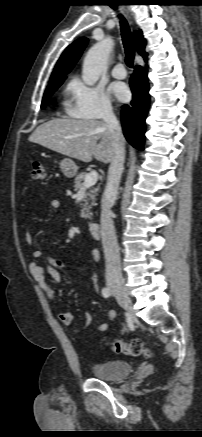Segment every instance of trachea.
<instances>
[{
	"instance_id": "obj_1",
	"label": "trachea",
	"mask_w": 202,
	"mask_h": 437,
	"mask_svg": "<svg viewBox=\"0 0 202 437\" xmlns=\"http://www.w3.org/2000/svg\"><path fill=\"white\" fill-rule=\"evenodd\" d=\"M113 9H116V6H111ZM120 28H121V35H122V41L125 49V62L128 67H133L134 57H135V51H134V45H133V39L131 35V31L129 28V25L126 21V19L120 14Z\"/></svg>"
}]
</instances>
